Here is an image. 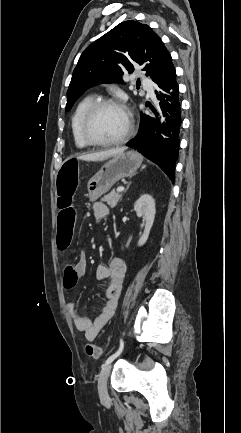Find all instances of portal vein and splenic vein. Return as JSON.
<instances>
[{
  "instance_id": "portal-vein-and-splenic-vein-1",
  "label": "portal vein and splenic vein",
  "mask_w": 241,
  "mask_h": 433,
  "mask_svg": "<svg viewBox=\"0 0 241 433\" xmlns=\"http://www.w3.org/2000/svg\"><path fill=\"white\" fill-rule=\"evenodd\" d=\"M122 191H124V187L123 186H120V187L117 188V192H122Z\"/></svg>"
}]
</instances>
